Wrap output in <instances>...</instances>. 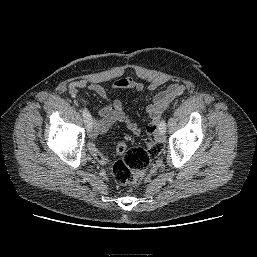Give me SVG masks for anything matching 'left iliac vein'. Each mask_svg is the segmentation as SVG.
Wrapping results in <instances>:
<instances>
[{
  "label": "left iliac vein",
  "instance_id": "left-iliac-vein-1",
  "mask_svg": "<svg viewBox=\"0 0 257 257\" xmlns=\"http://www.w3.org/2000/svg\"><path fill=\"white\" fill-rule=\"evenodd\" d=\"M155 137L161 143H163L165 141V139H166L165 132L163 130H161V129L157 130V132L155 134Z\"/></svg>",
  "mask_w": 257,
  "mask_h": 257
}]
</instances>
